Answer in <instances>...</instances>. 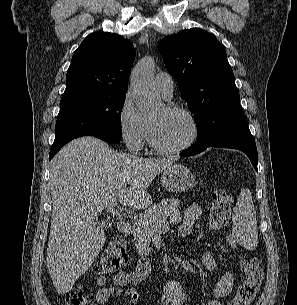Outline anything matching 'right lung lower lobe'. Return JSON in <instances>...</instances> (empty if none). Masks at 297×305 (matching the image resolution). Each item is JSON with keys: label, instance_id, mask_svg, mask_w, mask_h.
I'll list each match as a JSON object with an SVG mask.
<instances>
[{"label": "right lung lower lobe", "instance_id": "right-lung-lower-lobe-1", "mask_svg": "<svg viewBox=\"0 0 297 305\" xmlns=\"http://www.w3.org/2000/svg\"><path fill=\"white\" fill-rule=\"evenodd\" d=\"M99 139H102L108 143H117L120 141V137H114V136H109V135H93ZM61 149V147L58 148H51L50 154H49V160L53 158V156Z\"/></svg>", "mask_w": 297, "mask_h": 305}]
</instances>
